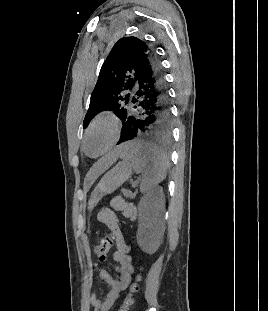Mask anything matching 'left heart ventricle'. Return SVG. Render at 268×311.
Returning a JSON list of instances; mask_svg holds the SVG:
<instances>
[{
	"label": "left heart ventricle",
	"mask_w": 268,
	"mask_h": 311,
	"mask_svg": "<svg viewBox=\"0 0 268 311\" xmlns=\"http://www.w3.org/2000/svg\"><path fill=\"white\" fill-rule=\"evenodd\" d=\"M110 137H111V128L109 127V125L107 124L99 125L91 132V134L87 139L86 142L87 151L92 155L100 153L108 143Z\"/></svg>",
	"instance_id": "obj_1"
}]
</instances>
